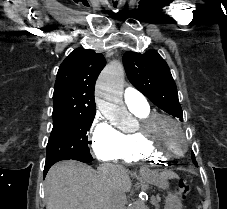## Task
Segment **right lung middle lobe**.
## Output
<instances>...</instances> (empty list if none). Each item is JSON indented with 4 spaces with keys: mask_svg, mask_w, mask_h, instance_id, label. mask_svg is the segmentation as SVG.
Wrapping results in <instances>:
<instances>
[{
    "mask_svg": "<svg viewBox=\"0 0 227 209\" xmlns=\"http://www.w3.org/2000/svg\"><path fill=\"white\" fill-rule=\"evenodd\" d=\"M79 101L63 102L65 105H76ZM53 129L47 144L45 172L55 161L65 158L88 162L93 158L88 147L86 136L93 122L95 112L77 113L70 111L53 112Z\"/></svg>",
    "mask_w": 227,
    "mask_h": 209,
    "instance_id": "right-lung-middle-lobe-1",
    "label": "right lung middle lobe"
}]
</instances>
